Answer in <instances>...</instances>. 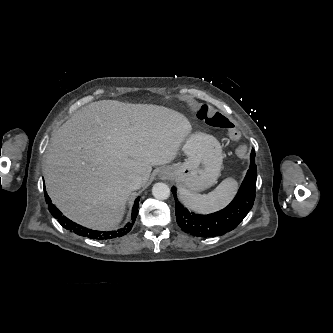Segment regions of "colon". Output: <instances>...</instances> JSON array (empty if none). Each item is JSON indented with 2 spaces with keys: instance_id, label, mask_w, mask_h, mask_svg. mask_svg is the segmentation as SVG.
<instances>
[{
  "instance_id": "colon-1",
  "label": "colon",
  "mask_w": 333,
  "mask_h": 333,
  "mask_svg": "<svg viewBox=\"0 0 333 333\" xmlns=\"http://www.w3.org/2000/svg\"><path fill=\"white\" fill-rule=\"evenodd\" d=\"M195 113L198 119L205 121L208 125L215 128L226 129L227 131L232 130L239 135L229 118L219 112L211 110L207 105L198 106Z\"/></svg>"
}]
</instances>
